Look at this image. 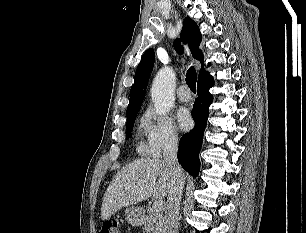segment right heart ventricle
Returning a JSON list of instances; mask_svg holds the SVG:
<instances>
[{
	"instance_id": "obj_1",
	"label": "right heart ventricle",
	"mask_w": 306,
	"mask_h": 233,
	"mask_svg": "<svg viewBox=\"0 0 306 233\" xmlns=\"http://www.w3.org/2000/svg\"><path fill=\"white\" fill-rule=\"evenodd\" d=\"M141 126H144V121L141 123ZM138 136H140V132H139ZM137 151L140 154H144L146 152V146L144 145V143L140 139L137 143Z\"/></svg>"
}]
</instances>
